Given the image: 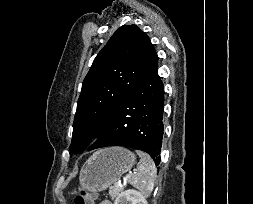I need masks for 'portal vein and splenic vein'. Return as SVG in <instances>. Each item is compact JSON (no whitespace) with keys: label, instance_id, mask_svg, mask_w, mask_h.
<instances>
[{"label":"portal vein and splenic vein","instance_id":"obj_1","mask_svg":"<svg viewBox=\"0 0 253 204\" xmlns=\"http://www.w3.org/2000/svg\"><path fill=\"white\" fill-rule=\"evenodd\" d=\"M115 186H119V182H115Z\"/></svg>","mask_w":253,"mask_h":204}]
</instances>
